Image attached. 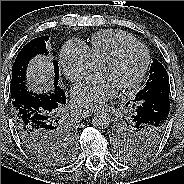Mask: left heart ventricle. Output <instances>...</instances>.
<instances>
[{
    "label": "left heart ventricle",
    "instance_id": "b2bd125f",
    "mask_svg": "<svg viewBox=\"0 0 184 184\" xmlns=\"http://www.w3.org/2000/svg\"><path fill=\"white\" fill-rule=\"evenodd\" d=\"M143 63V52L139 48H131L116 61L98 65V71L109 75L120 88L138 75Z\"/></svg>",
    "mask_w": 184,
    "mask_h": 184
}]
</instances>
